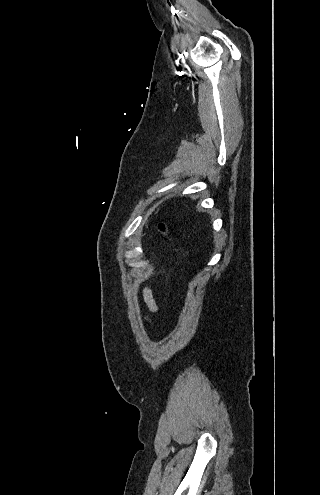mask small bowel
I'll list each match as a JSON object with an SVG mask.
<instances>
[{"label": "small bowel", "mask_w": 320, "mask_h": 495, "mask_svg": "<svg viewBox=\"0 0 320 495\" xmlns=\"http://www.w3.org/2000/svg\"><path fill=\"white\" fill-rule=\"evenodd\" d=\"M143 298L150 311L154 312L157 310V303L154 299L153 292L149 287L144 288Z\"/></svg>", "instance_id": "c3829d8e"}]
</instances>
